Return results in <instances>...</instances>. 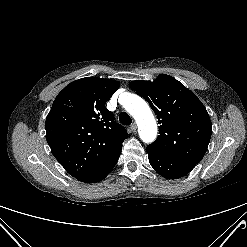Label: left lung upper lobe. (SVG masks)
<instances>
[{"label":"left lung upper lobe","mask_w":247,"mask_h":247,"mask_svg":"<svg viewBox=\"0 0 247 247\" xmlns=\"http://www.w3.org/2000/svg\"><path fill=\"white\" fill-rule=\"evenodd\" d=\"M129 86L149 102L160 124L157 140L148 147L180 161L199 163L208 147L212 124L197 96L166 74L153 82L132 81Z\"/></svg>","instance_id":"1"}]
</instances>
